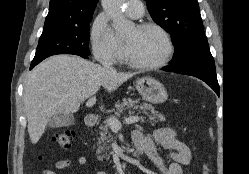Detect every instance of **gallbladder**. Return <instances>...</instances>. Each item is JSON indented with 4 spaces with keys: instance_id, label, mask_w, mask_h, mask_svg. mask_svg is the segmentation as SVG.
Returning <instances> with one entry per match:
<instances>
[{
    "instance_id": "obj_1",
    "label": "gallbladder",
    "mask_w": 249,
    "mask_h": 174,
    "mask_svg": "<svg viewBox=\"0 0 249 174\" xmlns=\"http://www.w3.org/2000/svg\"><path fill=\"white\" fill-rule=\"evenodd\" d=\"M74 124V117L72 114L58 113L52 116L48 122V126L51 128H58L62 126H69Z\"/></svg>"
}]
</instances>
